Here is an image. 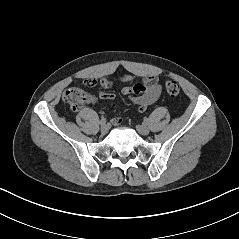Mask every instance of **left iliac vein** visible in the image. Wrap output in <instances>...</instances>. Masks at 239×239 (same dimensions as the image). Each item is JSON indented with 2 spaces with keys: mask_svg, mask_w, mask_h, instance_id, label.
<instances>
[{
  "mask_svg": "<svg viewBox=\"0 0 239 239\" xmlns=\"http://www.w3.org/2000/svg\"><path fill=\"white\" fill-rule=\"evenodd\" d=\"M136 129L141 135H148L150 132L149 128L146 125H137Z\"/></svg>",
  "mask_w": 239,
  "mask_h": 239,
  "instance_id": "left-iliac-vein-1",
  "label": "left iliac vein"
}]
</instances>
